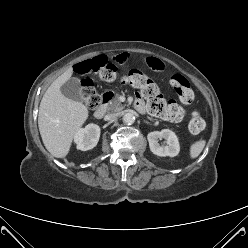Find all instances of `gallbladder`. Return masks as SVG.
<instances>
[{"mask_svg": "<svg viewBox=\"0 0 248 248\" xmlns=\"http://www.w3.org/2000/svg\"><path fill=\"white\" fill-rule=\"evenodd\" d=\"M61 93L74 101H82L81 97V84L78 78H70L60 87Z\"/></svg>", "mask_w": 248, "mask_h": 248, "instance_id": "bac80fb5", "label": "gallbladder"}]
</instances>
